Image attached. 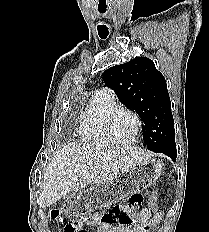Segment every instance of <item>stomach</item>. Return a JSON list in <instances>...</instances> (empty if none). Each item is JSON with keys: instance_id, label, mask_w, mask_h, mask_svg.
<instances>
[{"instance_id": "obj_1", "label": "stomach", "mask_w": 209, "mask_h": 232, "mask_svg": "<svg viewBox=\"0 0 209 232\" xmlns=\"http://www.w3.org/2000/svg\"><path fill=\"white\" fill-rule=\"evenodd\" d=\"M162 168L159 159H144L126 171H119V176H112L111 182H101L100 186H90L83 194L67 198L62 214H69L74 221H89L88 214H94L97 208L127 199L128 194L151 186L160 177Z\"/></svg>"}]
</instances>
